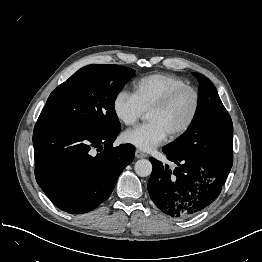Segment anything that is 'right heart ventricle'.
Segmentation results:
<instances>
[{
  "mask_svg": "<svg viewBox=\"0 0 262 262\" xmlns=\"http://www.w3.org/2000/svg\"><path fill=\"white\" fill-rule=\"evenodd\" d=\"M187 85L186 81L169 73H155L141 78L133 87V94L144 111L170 91Z\"/></svg>",
  "mask_w": 262,
  "mask_h": 262,
  "instance_id": "e07e8e85",
  "label": "right heart ventricle"
}]
</instances>
